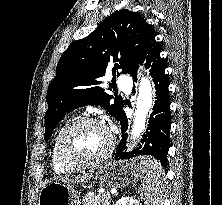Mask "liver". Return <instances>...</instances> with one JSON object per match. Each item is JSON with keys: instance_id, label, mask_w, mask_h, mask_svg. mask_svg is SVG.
Here are the masks:
<instances>
[{"instance_id": "1", "label": "liver", "mask_w": 222, "mask_h": 205, "mask_svg": "<svg viewBox=\"0 0 222 205\" xmlns=\"http://www.w3.org/2000/svg\"><path fill=\"white\" fill-rule=\"evenodd\" d=\"M92 176H93V173L85 174L82 176L61 177L60 181H62L63 183H72V184L81 183V184H83V183L88 182Z\"/></svg>"}]
</instances>
